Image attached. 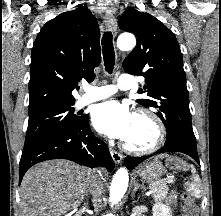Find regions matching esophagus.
Masks as SVG:
<instances>
[{"label":"esophagus","instance_id":"34e87169","mask_svg":"<svg viewBox=\"0 0 221 216\" xmlns=\"http://www.w3.org/2000/svg\"><path fill=\"white\" fill-rule=\"evenodd\" d=\"M104 22L107 26V28L113 32L116 31L117 29V24H116V20L113 16V14L110 12V11H107L104 15ZM110 154L114 160L115 163L119 164L121 163L122 159H123V156L122 154H120L119 152L113 150V149H110Z\"/></svg>","mask_w":221,"mask_h":216}]
</instances>
